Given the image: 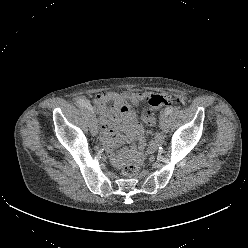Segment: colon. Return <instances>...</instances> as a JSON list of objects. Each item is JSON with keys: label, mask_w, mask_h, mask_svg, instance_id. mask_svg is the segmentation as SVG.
<instances>
[{"label": "colon", "mask_w": 248, "mask_h": 248, "mask_svg": "<svg viewBox=\"0 0 248 248\" xmlns=\"http://www.w3.org/2000/svg\"><path fill=\"white\" fill-rule=\"evenodd\" d=\"M173 102V100L164 95H151L146 102V105L143 109V121L149 125L152 126L155 124V116H154V109L160 107L169 105ZM177 103H181L182 101L180 99L176 100ZM140 170V166L138 162H130L123 168V174L127 177H133L135 176Z\"/></svg>", "instance_id": "5ec220e1"}]
</instances>
